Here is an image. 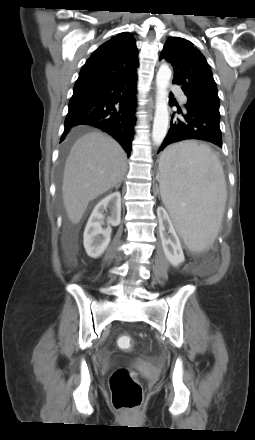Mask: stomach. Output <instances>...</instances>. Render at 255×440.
I'll use <instances>...</instances> for the list:
<instances>
[{
	"instance_id": "0dacf381",
	"label": "stomach",
	"mask_w": 255,
	"mask_h": 440,
	"mask_svg": "<svg viewBox=\"0 0 255 440\" xmlns=\"http://www.w3.org/2000/svg\"><path fill=\"white\" fill-rule=\"evenodd\" d=\"M164 158H165V157H164V153H163V155H162L161 158H160V165H161V166H163V164H162L163 162H162V161H163Z\"/></svg>"
}]
</instances>
